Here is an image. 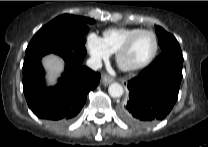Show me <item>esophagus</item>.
Returning <instances> with one entry per match:
<instances>
[{"instance_id":"34e87169","label":"esophagus","mask_w":208,"mask_h":147,"mask_svg":"<svg viewBox=\"0 0 208 147\" xmlns=\"http://www.w3.org/2000/svg\"><path fill=\"white\" fill-rule=\"evenodd\" d=\"M114 81V79L108 75H104L102 76V83L106 86L110 83H112Z\"/></svg>"}]
</instances>
